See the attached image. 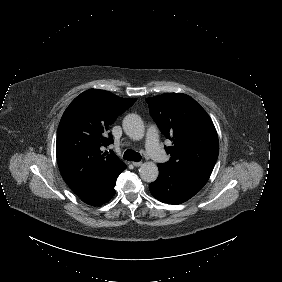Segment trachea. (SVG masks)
I'll list each match as a JSON object with an SVG mask.
<instances>
[{
    "label": "trachea",
    "mask_w": 282,
    "mask_h": 282,
    "mask_svg": "<svg viewBox=\"0 0 282 282\" xmlns=\"http://www.w3.org/2000/svg\"><path fill=\"white\" fill-rule=\"evenodd\" d=\"M123 159L128 161L140 162L142 156L138 152L128 149L124 152Z\"/></svg>",
    "instance_id": "trachea-1"
}]
</instances>
